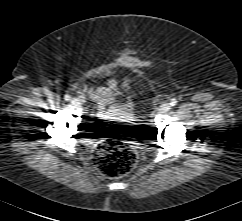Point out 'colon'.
<instances>
[{
    "label": "colon",
    "instance_id": "colon-1",
    "mask_svg": "<svg viewBox=\"0 0 242 221\" xmlns=\"http://www.w3.org/2000/svg\"><path fill=\"white\" fill-rule=\"evenodd\" d=\"M94 161L102 174L108 177H121L134 168L137 155L127 143L111 140L97 146Z\"/></svg>",
    "mask_w": 242,
    "mask_h": 221
}]
</instances>
